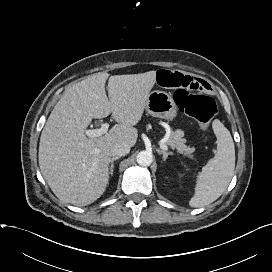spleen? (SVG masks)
<instances>
[{
  "label": "spleen",
  "mask_w": 272,
  "mask_h": 272,
  "mask_svg": "<svg viewBox=\"0 0 272 272\" xmlns=\"http://www.w3.org/2000/svg\"><path fill=\"white\" fill-rule=\"evenodd\" d=\"M217 138V153L203 167L196 180L191 207H203L217 200L228 187L235 169V148L228 129L218 120L212 122Z\"/></svg>",
  "instance_id": "3e777b00"
}]
</instances>
